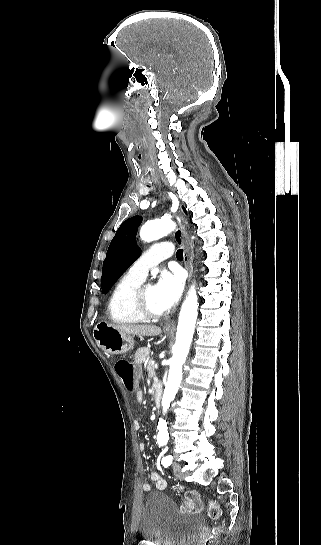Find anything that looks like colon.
I'll return each instance as SVG.
<instances>
[{"instance_id":"colon-1","label":"colon","mask_w":321,"mask_h":545,"mask_svg":"<svg viewBox=\"0 0 321 545\" xmlns=\"http://www.w3.org/2000/svg\"><path fill=\"white\" fill-rule=\"evenodd\" d=\"M115 371L127 390L132 391L135 389V370L129 361L118 360L115 363ZM182 508L186 511L198 513L202 510V504L194 493L186 492ZM208 514L212 519L220 517V508L216 502L211 501L209 503ZM216 533L217 531L214 530L213 535L206 541L205 545H214V535Z\"/></svg>"}]
</instances>
